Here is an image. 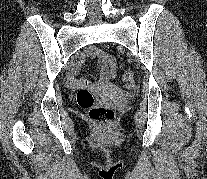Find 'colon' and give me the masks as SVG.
<instances>
[{
  "label": "colon",
  "mask_w": 207,
  "mask_h": 179,
  "mask_svg": "<svg viewBox=\"0 0 207 179\" xmlns=\"http://www.w3.org/2000/svg\"><path fill=\"white\" fill-rule=\"evenodd\" d=\"M122 82L125 86H130L133 82V72L126 71L122 74ZM78 105L88 110L89 117L99 126H111L115 120V113L112 108L95 102L92 93L85 88L78 90L76 94Z\"/></svg>",
  "instance_id": "1"
}]
</instances>
